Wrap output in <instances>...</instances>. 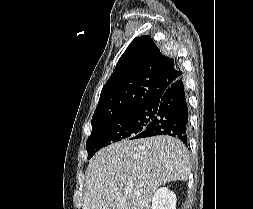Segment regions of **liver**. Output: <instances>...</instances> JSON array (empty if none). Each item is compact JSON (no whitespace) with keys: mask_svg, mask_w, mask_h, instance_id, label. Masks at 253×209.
<instances>
[{"mask_svg":"<svg viewBox=\"0 0 253 209\" xmlns=\"http://www.w3.org/2000/svg\"><path fill=\"white\" fill-rule=\"evenodd\" d=\"M189 173L187 148L177 138L162 135L111 144L89 162L82 209H149L158 187L186 181Z\"/></svg>","mask_w":253,"mask_h":209,"instance_id":"liver-1","label":"liver"}]
</instances>
